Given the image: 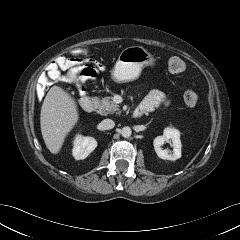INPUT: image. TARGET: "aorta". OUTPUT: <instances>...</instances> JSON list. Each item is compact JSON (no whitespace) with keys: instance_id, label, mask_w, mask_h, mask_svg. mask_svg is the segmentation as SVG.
<instances>
[{"instance_id":"aorta-1","label":"aorta","mask_w":240,"mask_h":240,"mask_svg":"<svg viewBox=\"0 0 240 240\" xmlns=\"http://www.w3.org/2000/svg\"><path fill=\"white\" fill-rule=\"evenodd\" d=\"M132 134V130L130 127L126 126V127H123L122 130H121V135L124 137V138H129Z\"/></svg>"}]
</instances>
